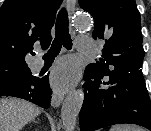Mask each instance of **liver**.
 Here are the masks:
<instances>
[{
    "instance_id": "liver-1",
    "label": "liver",
    "mask_w": 151,
    "mask_h": 131,
    "mask_svg": "<svg viewBox=\"0 0 151 131\" xmlns=\"http://www.w3.org/2000/svg\"><path fill=\"white\" fill-rule=\"evenodd\" d=\"M41 110L34 104L16 98L0 99V131H20Z\"/></svg>"
}]
</instances>
